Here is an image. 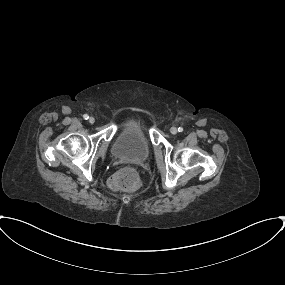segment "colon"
<instances>
[{
  "label": "colon",
  "instance_id": "1",
  "mask_svg": "<svg viewBox=\"0 0 285 285\" xmlns=\"http://www.w3.org/2000/svg\"><path fill=\"white\" fill-rule=\"evenodd\" d=\"M139 182L136 170L127 166L118 170L110 180V186L114 189L134 190Z\"/></svg>",
  "mask_w": 285,
  "mask_h": 285
}]
</instances>
